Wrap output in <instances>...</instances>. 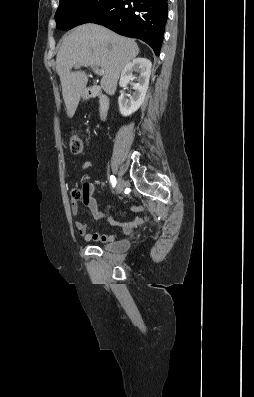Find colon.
Listing matches in <instances>:
<instances>
[{
  "label": "colon",
  "mask_w": 254,
  "mask_h": 397,
  "mask_svg": "<svg viewBox=\"0 0 254 397\" xmlns=\"http://www.w3.org/2000/svg\"><path fill=\"white\" fill-rule=\"evenodd\" d=\"M69 147L70 150L73 154H80L83 151V141L82 139L73 133L69 134ZM73 196L75 197V199L78 200H85L87 197L86 194V184L83 185V187L79 190H76L73 194Z\"/></svg>",
  "instance_id": "colon-1"
}]
</instances>
